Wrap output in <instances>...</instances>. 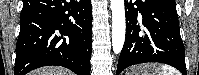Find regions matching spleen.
I'll return each instance as SVG.
<instances>
[{"mask_svg": "<svg viewBox=\"0 0 199 75\" xmlns=\"http://www.w3.org/2000/svg\"><path fill=\"white\" fill-rule=\"evenodd\" d=\"M157 71L155 75H180V73L170 66L162 65L160 67H156Z\"/></svg>", "mask_w": 199, "mask_h": 75, "instance_id": "1", "label": "spleen"}]
</instances>
